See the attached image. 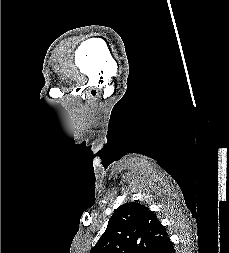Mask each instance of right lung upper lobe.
I'll use <instances>...</instances> for the list:
<instances>
[{
  "label": "right lung upper lobe",
  "instance_id": "obj_1",
  "mask_svg": "<svg viewBox=\"0 0 229 253\" xmlns=\"http://www.w3.org/2000/svg\"><path fill=\"white\" fill-rule=\"evenodd\" d=\"M170 242L154 212L140 203L119 206L90 253H159Z\"/></svg>",
  "mask_w": 229,
  "mask_h": 253
}]
</instances>
